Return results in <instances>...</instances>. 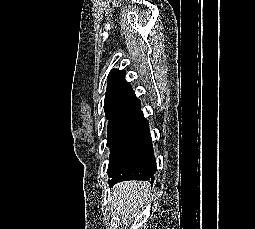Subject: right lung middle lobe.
<instances>
[{
	"instance_id": "obj_1",
	"label": "right lung middle lobe",
	"mask_w": 255,
	"mask_h": 229,
	"mask_svg": "<svg viewBox=\"0 0 255 229\" xmlns=\"http://www.w3.org/2000/svg\"><path fill=\"white\" fill-rule=\"evenodd\" d=\"M107 146L110 147L109 175L126 173L135 165L145 168L153 156L149 130H141L126 115L108 122Z\"/></svg>"
}]
</instances>
